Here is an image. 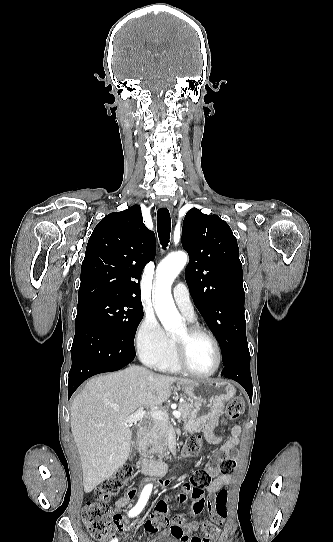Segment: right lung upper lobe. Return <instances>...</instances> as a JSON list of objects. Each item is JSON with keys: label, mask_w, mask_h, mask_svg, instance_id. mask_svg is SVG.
<instances>
[{"label": "right lung upper lobe", "mask_w": 333, "mask_h": 542, "mask_svg": "<svg viewBox=\"0 0 333 542\" xmlns=\"http://www.w3.org/2000/svg\"><path fill=\"white\" fill-rule=\"evenodd\" d=\"M154 257L155 234L144 225L139 205L108 214L89 238L81 266L78 304L104 297L142 305L139 281L143 268Z\"/></svg>", "instance_id": "1"}]
</instances>
